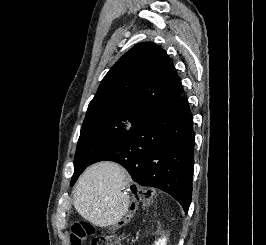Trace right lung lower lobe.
Returning <instances> with one entry per match:
<instances>
[{
	"mask_svg": "<svg viewBox=\"0 0 266 245\" xmlns=\"http://www.w3.org/2000/svg\"><path fill=\"white\" fill-rule=\"evenodd\" d=\"M194 145L193 115L182 94L144 115L91 164L104 160L121 164L135 182L167 192L187 213L192 197Z\"/></svg>",
	"mask_w": 266,
	"mask_h": 245,
	"instance_id": "right-lung-lower-lobe-1",
	"label": "right lung lower lobe"
}]
</instances>
